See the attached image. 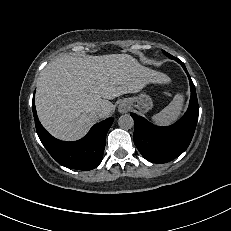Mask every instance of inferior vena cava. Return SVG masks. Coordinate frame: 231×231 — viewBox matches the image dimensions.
<instances>
[{"instance_id":"obj_1","label":"inferior vena cava","mask_w":231,"mask_h":231,"mask_svg":"<svg viewBox=\"0 0 231 231\" xmlns=\"http://www.w3.org/2000/svg\"><path fill=\"white\" fill-rule=\"evenodd\" d=\"M105 111L103 109H98L97 114L99 117H102L104 115Z\"/></svg>"}]
</instances>
